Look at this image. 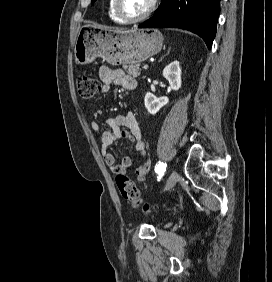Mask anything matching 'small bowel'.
Returning <instances> with one entry per match:
<instances>
[{
    "instance_id": "obj_1",
    "label": "small bowel",
    "mask_w": 272,
    "mask_h": 282,
    "mask_svg": "<svg viewBox=\"0 0 272 282\" xmlns=\"http://www.w3.org/2000/svg\"><path fill=\"white\" fill-rule=\"evenodd\" d=\"M99 77L103 82L101 93H107L110 85L122 87L124 90H135L137 81L133 77L126 75L121 69H113L108 66H101ZM108 129L103 131L99 137L101 141V153L106 165L115 173L126 174L127 169L131 166V158L124 157L118 162L116 156L109 152V147L116 141L126 138L133 143L134 149L143 157L147 156L145 141L140 127L133 113L119 115L114 118L106 119ZM93 131L97 132L100 125L97 121L91 123ZM150 170V164L144 163L137 167V180L143 182L146 180Z\"/></svg>"
}]
</instances>
